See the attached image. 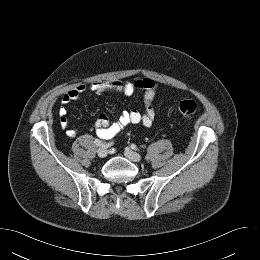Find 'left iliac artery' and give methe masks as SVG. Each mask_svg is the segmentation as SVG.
Returning a JSON list of instances; mask_svg holds the SVG:
<instances>
[{
    "label": "left iliac artery",
    "mask_w": 260,
    "mask_h": 260,
    "mask_svg": "<svg viewBox=\"0 0 260 260\" xmlns=\"http://www.w3.org/2000/svg\"><path fill=\"white\" fill-rule=\"evenodd\" d=\"M131 148L134 150H139L138 147L135 144H131Z\"/></svg>",
    "instance_id": "1"
}]
</instances>
